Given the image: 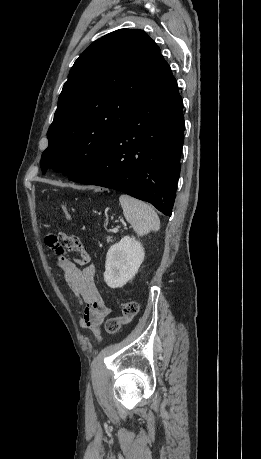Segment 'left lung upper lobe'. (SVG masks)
<instances>
[{"label":"left lung upper lobe","mask_w":261,"mask_h":459,"mask_svg":"<svg viewBox=\"0 0 261 459\" xmlns=\"http://www.w3.org/2000/svg\"><path fill=\"white\" fill-rule=\"evenodd\" d=\"M170 73L160 48L142 30L119 29L93 42L59 96L42 173L51 167L70 178L91 167Z\"/></svg>","instance_id":"1"}]
</instances>
